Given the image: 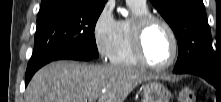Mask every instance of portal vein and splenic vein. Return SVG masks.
I'll return each mask as SVG.
<instances>
[{
  "label": "portal vein and splenic vein",
  "instance_id": "obj_1",
  "mask_svg": "<svg viewBox=\"0 0 221 102\" xmlns=\"http://www.w3.org/2000/svg\"><path fill=\"white\" fill-rule=\"evenodd\" d=\"M95 98L91 99L90 101H93Z\"/></svg>",
  "mask_w": 221,
  "mask_h": 102
}]
</instances>
